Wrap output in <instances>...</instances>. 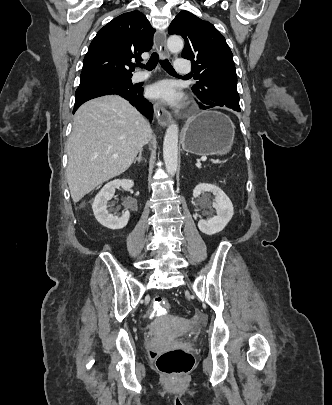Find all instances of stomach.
<instances>
[{
    "mask_svg": "<svg viewBox=\"0 0 332 405\" xmlns=\"http://www.w3.org/2000/svg\"><path fill=\"white\" fill-rule=\"evenodd\" d=\"M234 139V125L217 111H203L189 120L183 130L182 146L187 153L201 156L229 152Z\"/></svg>",
    "mask_w": 332,
    "mask_h": 405,
    "instance_id": "1",
    "label": "stomach"
}]
</instances>
